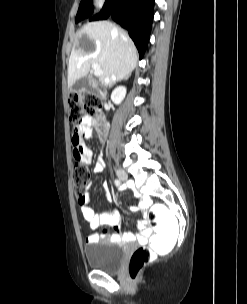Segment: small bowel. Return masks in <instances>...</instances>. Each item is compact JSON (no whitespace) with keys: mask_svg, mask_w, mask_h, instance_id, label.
Returning <instances> with one entry per match:
<instances>
[{"mask_svg":"<svg viewBox=\"0 0 247 304\" xmlns=\"http://www.w3.org/2000/svg\"><path fill=\"white\" fill-rule=\"evenodd\" d=\"M96 120L91 116H85L79 125H77L76 130H71V140L73 148L71 150V155L73 162H79V165H90L92 162V151L91 149L83 142L85 139H91L94 137V126ZM104 168V162L101 158L97 159L94 166V173L99 174L102 172ZM103 188L106 190V198L107 200L111 199V195L108 192V185L106 183L103 184ZM89 190V187H88ZM90 194L86 192L82 201L79 202L80 210L84 217V219L88 222L91 229L95 230L101 225H116L119 220V215L115 212H107L103 211L100 213L95 212L93 208L90 207ZM150 199L144 197L140 202V209H144L150 205ZM140 232L138 235L134 233L128 232L123 235H120L118 232L113 234L109 233H101L96 234L93 233L89 235L86 239L88 243H93L98 241L100 238L110 237L113 241H119L121 239L125 241H135L145 243L148 240V237L151 234V229L147 226V221L142 220L139 222Z\"/></svg>","mask_w":247,"mask_h":304,"instance_id":"1","label":"small bowel"}]
</instances>
